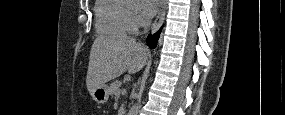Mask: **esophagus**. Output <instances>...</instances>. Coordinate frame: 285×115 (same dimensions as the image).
Returning a JSON list of instances; mask_svg holds the SVG:
<instances>
[{"mask_svg": "<svg viewBox=\"0 0 285 115\" xmlns=\"http://www.w3.org/2000/svg\"><path fill=\"white\" fill-rule=\"evenodd\" d=\"M166 5H167V0H162L158 15L151 27L152 33H155L161 27L163 20H164V16H165Z\"/></svg>", "mask_w": 285, "mask_h": 115, "instance_id": "obj_1", "label": "esophagus"}]
</instances>
